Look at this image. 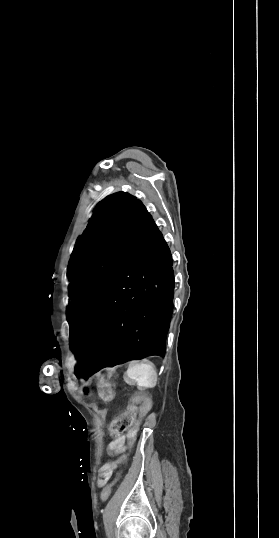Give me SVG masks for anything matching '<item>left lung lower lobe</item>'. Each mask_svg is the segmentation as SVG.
Returning a JSON list of instances; mask_svg holds the SVG:
<instances>
[{
  "instance_id": "obj_1",
  "label": "left lung lower lobe",
  "mask_w": 279,
  "mask_h": 538,
  "mask_svg": "<svg viewBox=\"0 0 279 538\" xmlns=\"http://www.w3.org/2000/svg\"><path fill=\"white\" fill-rule=\"evenodd\" d=\"M167 243L156 224L114 281L71 330L77 376L134 355H165L173 311L174 272Z\"/></svg>"
}]
</instances>
